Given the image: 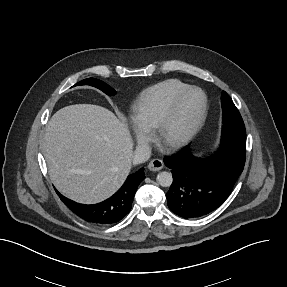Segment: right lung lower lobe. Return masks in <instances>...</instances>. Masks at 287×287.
I'll return each instance as SVG.
<instances>
[{
  "mask_svg": "<svg viewBox=\"0 0 287 287\" xmlns=\"http://www.w3.org/2000/svg\"><path fill=\"white\" fill-rule=\"evenodd\" d=\"M145 179L144 168L129 175L123 186L109 199L94 205L76 203L59 192L62 202L80 218L100 225L119 222L132 208L138 185Z\"/></svg>",
  "mask_w": 287,
  "mask_h": 287,
  "instance_id": "obj_1",
  "label": "right lung lower lobe"
}]
</instances>
